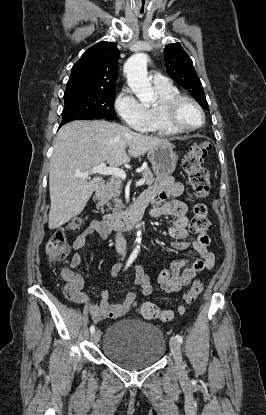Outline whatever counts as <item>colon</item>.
I'll return each instance as SVG.
<instances>
[{"label":"colon","instance_id":"5ec220e1","mask_svg":"<svg viewBox=\"0 0 266 415\" xmlns=\"http://www.w3.org/2000/svg\"><path fill=\"white\" fill-rule=\"evenodd\" d=\"M210 144L208 142L197 143L191 146L189 151L185 154L182 160V167L188 177L189 184L194 195L197 198H206L210 190V177L208 171L204 168V160L210 151ZM83 225V218L75 216L69 220L66 229L71 232H76L81 229ZM210 228L208 220V211L204 204L199 203L194 207V214L190 223V231L198 235L207 234ZM45 253L47 258L52 262H59L63 260L69 253V245L66 240L65 231L63 229L57 230L48 240ZM66 284L64 286L65 296L72 300L76 295V286L73 277L70 273L63 274ZM203 282L196 280L189 290L184 294L183 306L180 307V312H184L185 306L193 303L196 298L203 291ZM139 313L146 319H161L168 322L173 319V313L169 310H161L157 305L146 302L139 306Z\"/></svg>","mask_w":266,"mask_h":415}]
</instances>
